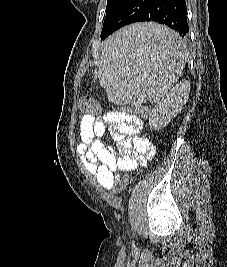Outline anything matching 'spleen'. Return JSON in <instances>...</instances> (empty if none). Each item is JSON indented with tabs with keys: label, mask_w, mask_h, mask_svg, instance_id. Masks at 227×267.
I'll use <instances>...</instances> for the list:
<instances>
[{
	"label": "spleen",
	"mask_w": 227,
	"mask_h": 267,
	"mask_svg": "<svg viewBox=\"0 0 227 267\" xmlns=\"http://www.w3.org/2000/svg\"><path fill=\"white\" fill-rule=\"evenodd\" d=\"M105 40L101 55H106L109 67H104V80L111 82L102 86L113 87L117 102L140 96L157 101L182 74L186 45L162 22H130ZM104 98H111V93H104ZM103 105H110V100H103Z\"/></svg>",
	"instance_id": "1"
}]
</instances>
